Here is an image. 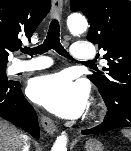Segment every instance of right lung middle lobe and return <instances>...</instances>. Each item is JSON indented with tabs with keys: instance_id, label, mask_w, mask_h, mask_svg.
Returning <instances> with one entry per match:
<instances>
[{
	"instance_id": "1",
	"label": "right lung middle lobe",
	"mask_w": 131,
	"mask_h": 151,
	"mask_svg": "<svg viewBox=\"0 0 131 151\" xmlns=\"http://www.w3.org/2000/svg\"><path fill=\"white\" fill-rule=\"evenodd\" d=\"M6 66L7 62L0 63V81H7V75H6Z\"/></svg>"
}]
</instances>
